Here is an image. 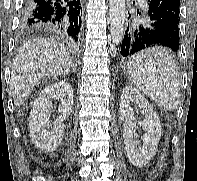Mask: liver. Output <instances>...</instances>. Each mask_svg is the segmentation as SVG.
Listing matches in <instances>:
<instances>
[{
	"instance_id": "obj_1",
	"label": "liver",
	"mask_w": 197,
	"mask_h": 181,
	"mask_svg": "<svg viewBox=\"0 0 197 181\" xmlns=\"http://www.w3.org/2000/svg\"><path fill=\"white\" fill-rule=\"evenodd\" d=\"M74 70L73 59L58 41L49 38L28 41L12 65L10 88L14 104L20 106L42 79L67 75Z\"/></svg>"
}]
</instances>
